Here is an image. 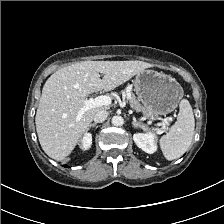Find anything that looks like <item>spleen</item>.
I'll return each instance as SVG.
<instances>
[{
    "instance_id": "1",
    "label": "spleen",
    "mask_w": 224,
    "mask_h": 224,
    "mask_svg": "<svg viewBox=\"0 0 224 224\" xmlns=\"http://www.w3.org/2000/svg\"><path fill=\"white\" fill-rule=\"evenodd\" d=\"M179 109L176 123L160 139V147L167 160L182 156L191 145L194 135L195 119L189 101L181 100Z\"/></svg>"
}]
</instances>
